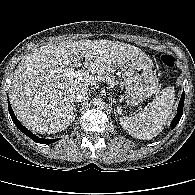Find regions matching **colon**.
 I'll list each match as a JSON object with an SVG mask.
<instances>
[{
  "label": "colon",
  "instance_id": "5ec220e1",
  "mask_svg": "<svg viewBox=\"0 0 195 195\" xmlns=\"http://www.w3.org/2000/svg\"><path fill=\"white\" fill-rule=\"evenodd\" d=\"M161 63L167 69H173L175 67V58L171 55L165 54L161 56Z\"/></svg>",
  "mask_w": 195,
  "mask_h": 195
}]
</instances>
